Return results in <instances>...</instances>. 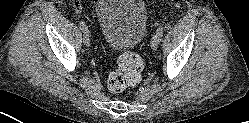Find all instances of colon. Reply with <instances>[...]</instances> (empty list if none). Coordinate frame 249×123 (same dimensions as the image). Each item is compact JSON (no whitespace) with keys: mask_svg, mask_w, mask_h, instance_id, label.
I'll return each instance as SVG.
<instances>
[{"mask_svg":"<svg viewBox=\"0 0 249 123\" xmlns=\"http://www.w3.org/2000/svg\"><path fill=\"white\" fill-rule=\"evenodd\" d=\"M143 61L133 52H125L117 62V69L110 73L107 81L111 92H121L141 79Z\"/></svg>","mask_w":249,"mask_h":123,"instance_id":"1","label":"colon"}]
</instances>
